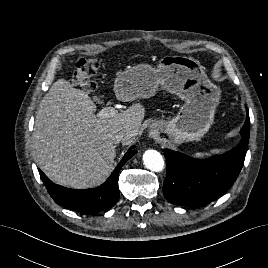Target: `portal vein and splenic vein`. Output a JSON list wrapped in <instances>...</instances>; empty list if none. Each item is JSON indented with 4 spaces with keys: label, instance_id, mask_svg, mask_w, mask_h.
<instances>
[{
    "label": "portal vein and splenic vein",
    "instance_id": "18ae733b",
    "mask_svg": "<svg viewBox=\"0 0 268 268\" xmlns=\"http://www.w3.org/2000/svg\"><path fill=\"white\" fill-rule=\"evenodd\" d=\"M117 114V110L114 107H105L101 109L98 113L99 117L101 118H109L113 117Z\"/></svg>",
    "mask_w": 268,
    "mask_h": 268
}]
</instances>
